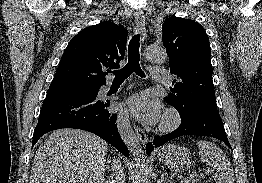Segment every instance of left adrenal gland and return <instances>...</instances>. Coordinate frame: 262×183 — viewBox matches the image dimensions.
Here are the masks:
<instances>
[{
  "label": "left adrenal gland",
  "instance_id": "1",
  "mask_svg": "<svg viewBox=\"0 0 262 183\" xmlns=\"http://www.w3.org/2000/svg\"><path fill=\"white\" fill-rule=\"evenodd\" d=\"M165 181L172 183V180L169 179V178H167L166 173H165V171L163 170V171H162V174H161V178H160V183H163V182H165Z\"/></svg>",
  "mask_w": 262,
  "mask_h": 183
}]
</instances>
